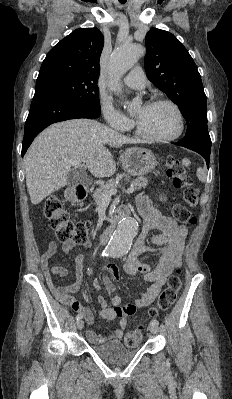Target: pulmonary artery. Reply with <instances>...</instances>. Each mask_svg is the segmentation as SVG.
I'll return each instance as SVG.
<instances>
[{
  "label": "pulmonary artery",
  "mask_w": 232,
  "mask_h": 399,
  "mask_svg": "<svg viewBox=\"0 0 232 399\" xmlns=\"http://www.w3.org/2000/svg\"><path fill=\"white\" fill-rule=\"evenodd\" d=\"M125 84L127 85V90H140L142 85L146 83V78L144 73H140L139 69H132L129 77H125Z\"/></svg>",
  "instance_id": "1"
}]
</instances>
